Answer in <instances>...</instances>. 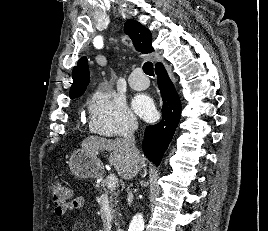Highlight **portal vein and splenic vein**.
I'll use <instances>...</instances> for the list:
<instances>
[{
	"mask_svg": "<svg viewBox=\"0 0 268 231\" xmlns=\"http://www.w3.org/2000/svg\"><path fill=\"white\" fill-rule=\"evenodd\" d=\"M107 183H108V188H113L118 184V178L115 174L110 173L107 176Z\"/></svg>",
	"mask_w": 268,
	"mask_h": 231,
	"instance_id": "18ae733b",
	"label": "portal vein and splenic vein"
}]
</instances>
